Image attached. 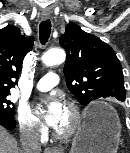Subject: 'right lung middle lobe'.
I'll return each instance as SVG.
<instances>
[{
  "instance_id": "obj_1",
  "label": "right lung middle lobe",
  "mask_w": 130,
  "mask_h": 153,
  "mask_svg": "<svg viewBox=\"0 0 130 153\" xmlns=\"http://www.w3.org/2000/svg\"><path fill=\"white\" fill-rule=\"evenodd\" d=\"M10 93L0 92V115H4L9 119H14V104L7 99Z\"/></svg>"
}]
</instances>
